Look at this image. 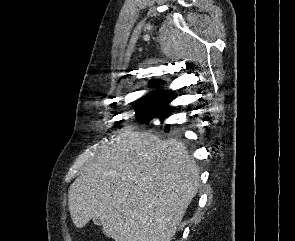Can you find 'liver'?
Segmentation results:
<instances>
[{
  "label": "liver",
  "mask_w": 295,
  "mask_h": 241,
  "mask_svg": "<svg viewBox=\"0 0 295 241\" xmlns=\"http://www.w3.org/2000/svg\"><path fill=\"white\" fill-rule=\"evenodd\" d=\"M199 180L183 143L124 129L71 184L68 208L77 228L99 219L115 241H171Z\"/></svg>",
  "instance_id": "6515ba94"
}]
</instances>
